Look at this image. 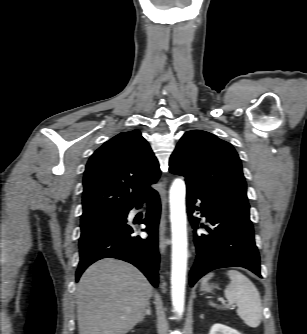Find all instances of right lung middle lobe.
Segmentation results:
<instances>
[{
  "mask_svg": "<svg viewBox=\"0 0 307 334\" xmlns=\"http://www.w3.org/2000/svg\"><path fill=\"white\" fill-rule=\"evenodd\" d=\"M125 213H96L81 216V237L79 246L82 247L99 235L121 226L126 221Z\"/></svg>",
  "mask_w": 307,
  "mask_h": 334,
  "instance_id": "right-lung-middle-lobe-1",
  "label": "right lung middle lobe"
}]
</instances>
